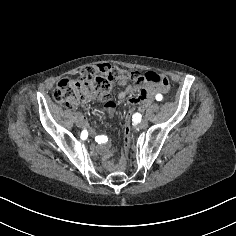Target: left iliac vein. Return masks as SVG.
Returning a JSON list of instances; mask_svg holds the SVG:
<instances>
[{"label":"left iliac vein","instance_id":"left-iliac-vein-1","mask_svg":"<svg viewBox=\"0 0 236 236\" xmlns=\"http://www.w3.org/2000/svg\"><path fill=\"white\" fill-rule=\"evenodd\" d=\"M148 122L145 119H142V122L139 125H136V128L138 130H143L145 127H147Z\"/></svg>","mask_w":236,"mask_h":236}]
</instances>
